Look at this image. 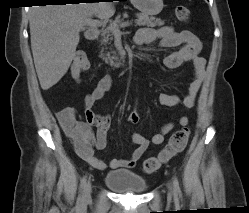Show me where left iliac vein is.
I'll return each mask as SVG.
<instances>
[{
  "instance_id": "4c4485c4",
  "label": "left iliac vein",
  "mask_w": 249,
  "mask_h": 213,
  "mask_svg": "<svg viewBox=\"0 0 249 213\" xmlns=\"http://www.w3.org/2000/svg\"><path fill=\"white\" fill-rule=\"evenodd\" d=\"M169 188V195H173V187L171 184L168 185Z\"/></svg>"
}]
</instances>
